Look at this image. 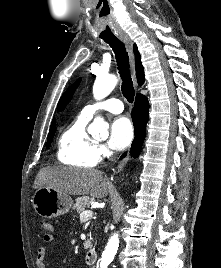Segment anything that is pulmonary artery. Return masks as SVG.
Returning a JSON list of instances; mask_svg holds the SVG:
<instances>
[{"mask_svg": "<svg viewBox=\"0 0 221 268\" xmlns=\"http://www.w3.org/2000/svg\"><path fill=\"white\" fill-rule=\"evenodd\" d=\"M123 109V103L119 99L110 98L103 102L85 106L81 113L88 118H92L97 112L101 110L118 114L121 113Z\"/></svg>", "mask_w": 221, "mask_h": 268, "instance_id": "1", "label": "pulmonary artery"}]
</instances>
